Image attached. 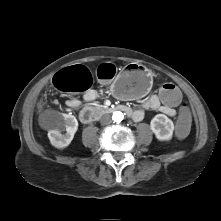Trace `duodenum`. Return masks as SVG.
Returning a JSON list of instances; mask_svg holds the SVG:
<instances>
[{
    "label": "duodenum",
    "instance_id": "obj_1",
    "mask_svg": "<svg viewBox=\"0 0 221 221\" xmlns=\"http://www.w3.org/2000/svg\"><path fill=\"white\" fill-rule=\"evenodd\" d=\"M115 111H122L127 115H132V110L125 105H117L112 107H86L81 110L79 118L83 123H91L100 119V117L107 113Z\"/></svg>",
    "mask_w": 221,
    "mask_h": 221
}]
</instances>
